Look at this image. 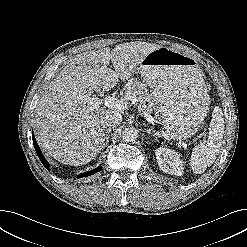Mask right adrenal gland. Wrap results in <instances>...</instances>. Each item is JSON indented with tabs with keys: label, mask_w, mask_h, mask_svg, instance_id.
I'll use <instances>...</instances> for the list:
<instances>
[{
	"label": "right adrenal gland",
	"mask_w": 247,
	"mask_h": 247,
	"mask_svg": "<svg viewBox=\"0 0 247 247\" xmlns=\"http://www.w3.org/2000/svg\"><path fill=\"white\" fill-rule=\"evenodd\" d=\"M112 131V128H109L108 130H106L105 132V142H104V148L107 146V144L109 143V134Z\"/></svg>",
	"instance_id": "2a0ac1e0"
}]
</instances>
